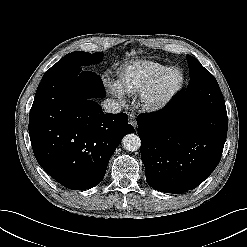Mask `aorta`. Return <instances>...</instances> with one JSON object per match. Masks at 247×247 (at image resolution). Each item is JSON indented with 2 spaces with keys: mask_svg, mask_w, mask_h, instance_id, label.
<instances>
[{
  "mask_svg": "<svg viewBox=\"0 0 247 247\" xmlns=\"http://www.w3.org/2000/svg\"><path fill=\"white\" fill-rule=\"evenodd\" d=\"M123 147L128 151H137L141 146V140L139 136L130 133L124 136L122 139Z\"/></svg>",
  "mask_w": 247,
  "mask_h": 247,
  "instance_id": "762f6f07",
  "label": "aorta"
}]
</instances>
